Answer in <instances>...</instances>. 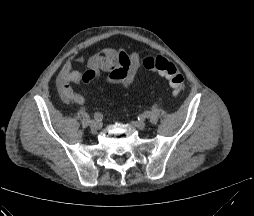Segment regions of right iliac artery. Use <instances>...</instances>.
<instances>
[{
	"label": "right iliac artery",
	"mask_w": 254,
	"mask_h": 216,
	"mask_svg": "<svg viewBox=\"0 0 254 216\" xmlns=\"http://www.w3.org/2000/svg\"><path fill=\"white\" fill-rule=\"evenodd\" d=\"M93 117L97 122H102L103 120V115L100 112H96Z\"/></svg>",
	"instance_id": "right-iliac-artery-1"
}]
</instances>
